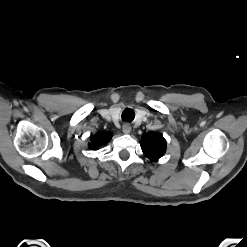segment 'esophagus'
Here are the masks:
<instances>
[{"instance_id": "1", "label": "esophagus", "mask_w": 247, "mask_h": 247, "mask_svg": "<svg viewBox=\"0 0 247 247\" xmlns=\"http://www.w3.org/2000/svg\"><path fill=\"white\" fill-rule=\"evenodd\" d=\"M122 130H123V133L124 134H130V132H131V126L128 123H126V124L123 125Z\"/></svg>"}]
</instances>
